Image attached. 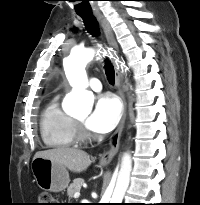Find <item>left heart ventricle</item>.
<instances>
[{"label": "left heart ventricle", "instance_id": "obj_1", "mask_svg": "<svg viewBox=\"0 0 200 205\" xmlns=\"http://www.w3.org/2000/svg\"><path fill=\"white\" fill-rule=\"evenodd\" d=\"M76 119H77V120H80V121H82V122H84L85 119H86V115H80V116H78Z\"/></svg>", "mask_w": 200, "mask_h": 205}]
</instances>
